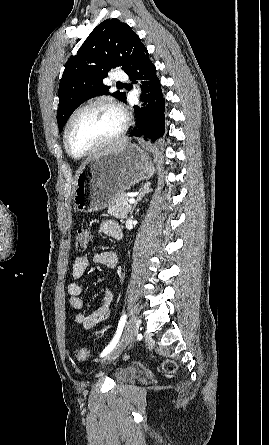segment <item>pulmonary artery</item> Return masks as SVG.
Listing matches in <instances>:
<instances>
[{"label":"pulmonary artery","instance_id":"obj_1","mask_svg":"<svg viewBox=\"0 0 269 445\" xmlns=\"http://www.w3.org/2000/svg\"><path fill=\"white\" fill-rule=\"evenodd\" d=\"M126 78H127L126 74H124L123 72H119V71L115 72L114 76H113V79L115 81H124V80H126Z\"/></svg>","mask_w":269,"mask_h":445}]
</instances>
